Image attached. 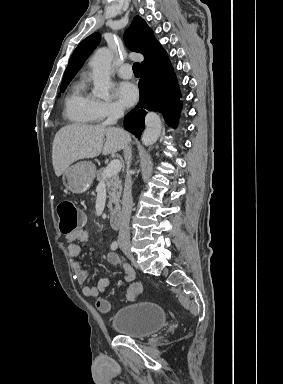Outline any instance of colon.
Segmentation results:
<instances>
[{
	"mask_svg": "<svg viewBox=\"0 0 283 384\" xmlns=\"http://www.w3.org/2000/svg\"><path fill=\"white\" fill-rule=\"evenodd\" d=\"M57 213L60 219V229L64 234H69L84 224V214L70 199H64L58 204ZM140 293L141 287L138 284H131L127 291V297L134 299ZM97 308L102 313H108L111 306L108 300L101 298L97 300Z\"/></svg>",
	"mask_w": 283,
	"mask_h": 384,
	"instance_id": "1",
	"label": "colon"
}]
</instances>
